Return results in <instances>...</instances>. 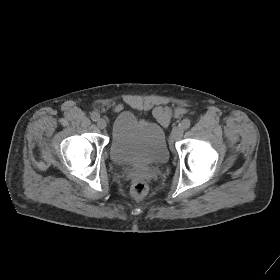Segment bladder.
I'll return each mask as SVG.
<instances>
[{
  "label": "bladder",
  "instance_id": "1",
  "mask_svg": "<svg viewBox=\"0 0 280 280\" xmlns=\"http://www.w3.org/2000/svg\"><path fill=\"white\" fill-rule=\"evenodd\" d=\"M109 154L118 165L165 164L169 148L164 128L138 119L132 112H120L112 123Z\"/></svg>",
  "mask_w": 280,
  "mask_h": 280
}]
</instances>
